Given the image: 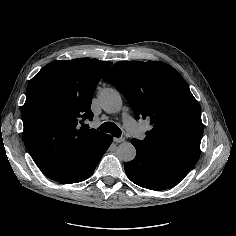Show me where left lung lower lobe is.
Wrapping results in <instances>:
<instances>
[{"label":"left lung lower lobe","instance_id":"1","mask_svg":"<svg viewBox=\"0 0 236 236\" xmlns=\"http://www.w3.org/2000/svg\"><path fill=\"white\" fill-rule=\"evenodd\" d=\"M136 148V157L124 164L129 179L140 187L164 190L177 185L188 171L172 160L140 146L131 140Z\"/></svg>","mask_w":236,"mask_h":236}]
</instances>
